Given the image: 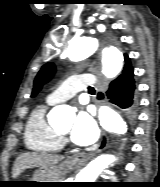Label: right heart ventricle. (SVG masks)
Instances as JSON below:
<instances>
[{
	"label": "right heart ventricle",
	"instance_id": "1",
	"mask_svg": "<svg viewBox=\"0 0 160 187\" xmlns=\"http://www.w3.org/2000/svg\"><path fill=\"white\" fill-rule=\"evenodd\" d=\"M46 110L47 105H40L31 112L25 126L24 143L31 151L56 154L63 148V140L56 129L47 122Z\"/></svg>",
	"mask_w": 160,
	"mask_h": 187
}]
</instances>
